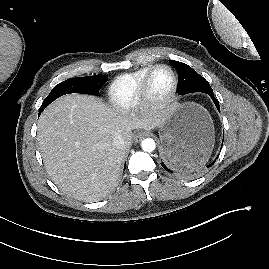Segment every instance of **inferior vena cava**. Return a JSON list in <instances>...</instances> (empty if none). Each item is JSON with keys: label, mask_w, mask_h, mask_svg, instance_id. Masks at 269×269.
<instances>
[{"label": "inferior vena cava", "mask_w": 269, "mask_h": 269, "mask_svg": "<svg viewBox=\"0 0 269 269\" xmlns=\"http://www.w3.org/2000/svg\"><path fill=\"white\" fill-rule=\"evenodd\" d=\"M112 145L116 148H123L125 141L122 136H116L112 141Z\"/></svg>", "instance_id": "inferior-vena-cava-1"}]
</instances>
